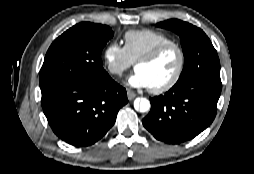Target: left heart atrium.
I'll return each instance as SVG.
<instances>
[{
    "label": "left heart atrium",
    "instance_id": "1",
    "mask_svg": "<svg viewBox=\"0 0 254 174\" xmlns=\"http://www.w3.org/2000/svg\"><path fill=\"white\" fill-rule=\"evenodd\" d=\"M127 84L133 88H151L147 76L140 70H136L127 80Z\"/></svg>",
    "mask_w": 254,
    "mask_h": 174
}]
</instances>
